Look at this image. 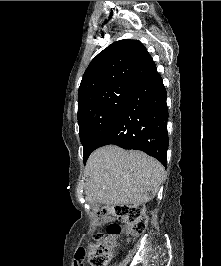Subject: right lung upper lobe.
<instances>
[{
	"instance_id": "right-lung-upper-lobe-1",
	"label": "right lung upper lobe",
	"mask_w": 221,
	"mask_h": 266,
	"mask_svg": "<svg viewBox=\"0 0 221 266\" xmlns=\"http://www.w3.org/2000/svg\"><path fill=\"white\" fill-rule=\"evenodd\" d=\"M156 73L154 61L140 41H116L87 67L78 90V102L99 89L118 85L138 87Z\"/></svg>"
}]
</instances>
